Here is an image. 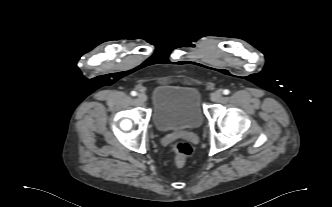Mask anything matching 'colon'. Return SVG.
<instances>
[{
	"label": "colon",
	"mask_w": 332,
	"mask_h": 207,
	"mask_svg": "<svg viewBox=\"0 0 332 207\" xmlns=\"http://www.w3.org/2000/svg\"><path fill=\"white\" fill-rule=\"evenodd\" d=\"M171 149L174 154V163L177 166L184 165L187 158L192 156L194 153L193 146L185 140L176 141L175 143H173Z\"/></svg>",
	"instance_id": "colon-1"
}]
</instances>
